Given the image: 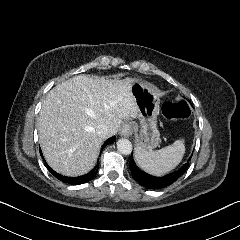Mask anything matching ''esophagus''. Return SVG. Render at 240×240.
<instances>
[{
	"instance_id": "esophagus-1",
	"label": "esophagus",
	"mask_w": 240,
	"mask_h": 240,
	"mask_svg": "<svg viewBox=\"0 0 240 240\" xmlns=\"http://www.w3.org/2000/svg\"><path fill=\"white\" fill-rule=\"evenodd\" d=\"M133 132V124L131 122H126L122 125L119 133L123 137H129Z\"/></svg>"
}]
</instances>
